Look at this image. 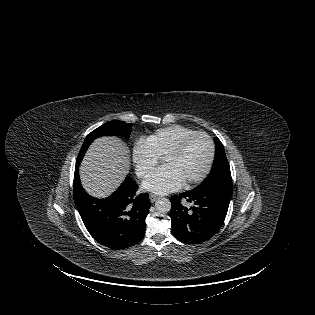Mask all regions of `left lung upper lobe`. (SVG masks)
<instances>
[{"label":"left lung upper lobe","instance_id":"1","mask_svg":"<svg viewBox=\"0 0 315 315\" xmlns=\"http://www.w3.org/2000/svg\"><path fill=\"white\" fill-rule=\"evenodd\" d=\"M199 187L232 190L230 166L225 154L224 146L217 138H215V158L212 170Z\"/></svg>","mask_w":315,"mask_h":315}]
</instances>
